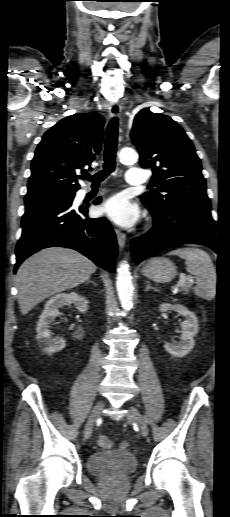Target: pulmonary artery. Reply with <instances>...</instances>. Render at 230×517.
Wrapping results in <instances>:
<instances>
[{"label":"pulmonary artery","instance_id":"1","mask_svg":"<svg viewBox=\"0 0 230 517\" xmlns=\"http://www.w3.org/2000/svg\"><path fill=\"white\" fill-rule=\"evenodd\" d=\"M147 181V174L142 169L130 168L126 173V182L129 185H141Z\"/></svg>","mask_w":230,"mask_h":517}]
</instances>
